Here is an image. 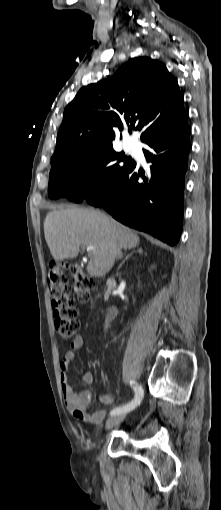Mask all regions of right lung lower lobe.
<instances>
[{"label": "right lung lower lobe", "mask_w": 221, "mask_h": 510, "mask_svg": "<svg viewBox=\"0 0 221 510\" xmlns=\"http://www.w3.org/2000/svg\"><path fill=\"white\" fill-rule=\"evenodd\" d=\"M190 126L150 136L143 140L152 165L149 174L136 163L111 187L87 202L103 207L121 223L149 233L170 246L182 231L184 178L191 148Z\"/></svg>", "instance_id": "obj_1"}]
</instances>
